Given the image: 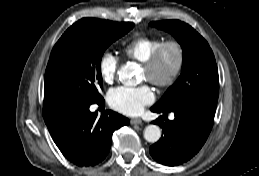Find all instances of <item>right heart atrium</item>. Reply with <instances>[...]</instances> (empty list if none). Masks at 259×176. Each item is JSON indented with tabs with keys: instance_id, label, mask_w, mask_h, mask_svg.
Listing matches in <instances>:
<instances>
[{
	"instance_id": "d8ad5b80",
	"label": "right heart atrium",
	"mask_w": 259,
	"mask_h": 176,
	"mask_svg": "<svg viewBox=\"0 0 259 176\" xmlns=\"http://www.w3.org/2000/svg\"><path fill=\"white\" fill-rule=\"evenodd\" d=\"M119 59L113 53L105 51L98 63V71L102 81L111 84L117 76Z\"/></svg>"
}]
</instances>
